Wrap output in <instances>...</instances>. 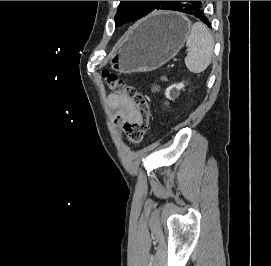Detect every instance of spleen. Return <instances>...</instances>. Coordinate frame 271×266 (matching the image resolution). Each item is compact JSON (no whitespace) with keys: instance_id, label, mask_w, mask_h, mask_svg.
<instances>
[{"instance_id":"obj_1","label":"spleen","mask_w":271,"mask_h":266,"mask_svg":"<svg viewBox=\"0 0 271 266\" xmlns=\"http://www.w3.org/2000/svg\"><path fill=\"white\" fill-rule=\"evenodd\" d=\"M188 53L185 58V65L192 73L204 72L210 65L214 40L209 29L201 22L194 23L186 37Z\"/></svg>"}]
</instances>
